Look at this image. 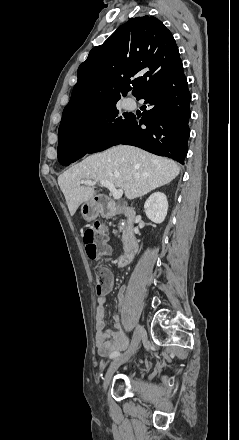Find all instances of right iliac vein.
Returning <instances> with one entry per match:
<instances>
[{"instance_id": "63e3f726", "label": "right iliac vein", "mask_w": 239, "mask_h": 440, "mask_svg": "<svg viewBox=\"0 0 239 440\" xmlns=\"http://www.w3.org/2000/svg\"><path fill=\"white\" fill-rule=\"evenodd\" d=\"M143 334H144L143 327L138 325L135 329V332L133 334L131 344H130V347L128 348V350L126 352H124L122 355L115 358L113 360V362L111 363V365L105 375V378H104V382H103L104 391L107 390L109 383L111 381V378H112L113 374L115 373V371L122 364L126 363L131 358V356L134 354V352L137 350Z\"/></svg>"}]
</instances>
